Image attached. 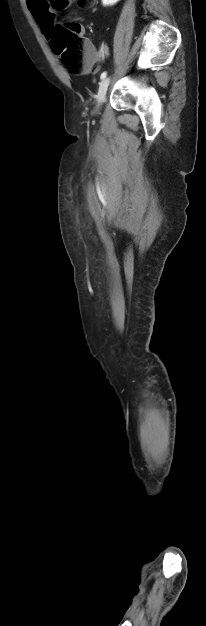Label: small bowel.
<instances>
[{
	"label": "small bowel",
	"instance_id": "c3829d8e",
	"mask_svg": "<svg viewBox=\"0 0 206 626\" xmlns=\"http://www.w3.org/2000/svg\"><path fill=\"white\" fill-rule=\"evenodd\" d=\"M30 7L34 16L36 17V19L40 22L42 26V30L45 35V38L49 41V44L53 49V46H52L53 35L52 34L55 29L54 13L49 9L45 0H33L30 4ZM79 34L83 37L85 36L86 31L83 27L80 28ZM85 45L88 50V55H87V58L85 60V63L82 69L83 75H87L95 71L97 69L96 67L97 62L103 59L108 53L106 46L103 45L100 49L96 50L88 39H85Z\"/></svg>",
	"mask_w": 206,
	"mask_h": 626
}]
</instances>
